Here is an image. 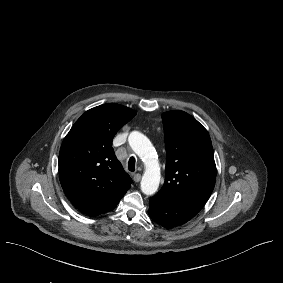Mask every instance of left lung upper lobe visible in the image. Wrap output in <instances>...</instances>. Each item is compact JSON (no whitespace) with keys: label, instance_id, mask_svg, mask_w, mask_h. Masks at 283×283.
<instances>
[{"label":"left lung upper lobe","instance_id":"1","mask_svg":"<svg viewBox=\"0 0 283 283\" xmlns=\"http://www.w3.org/2000/svg\"><path fill=\"white\" fill-rule=\"evenodd\" d=\"M162 120L167 162L165 183L157 194L203 207L216 180L210 136L183 111L165 112Z\"/></svg>","mask_w":283,"mask_h":283}]
</instances>
